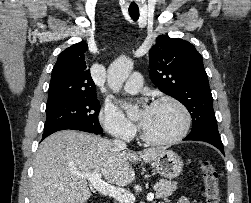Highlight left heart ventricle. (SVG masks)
Returning <instances> with one entry per match:
<instances>
[{"instance_id":"1","label":"left heart ventricle","mask_w":251,"mask_h":203,"mask_svg":"<svg viewBox=\"0 0 251 203\" xmlns=\"http://www.w3.org/2000/svg\"><path fill=\"white\" fill-rule=\"evenodd\" d=\"M139 119L146 135L158 140L176 135L183 124L182 113L172 104L151 106L146 116L140 113Z\"/></svg>"}]
</instances>
